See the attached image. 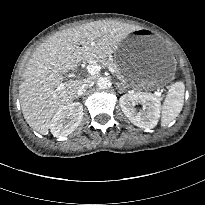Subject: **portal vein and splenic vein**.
Returning <instances> with one entry per match:
<instances>
[{"mask_svg":"<svg viewBox=\"0 0 205 205\" xmlns=\"http://www.w3.org/2000/svg\"><path fill=\"white\" fill-rule=\"evenodd\" d=\"M87 70H88V73L90 75H95V74H97L101 70V66L100 65H94V64L93 65H88L87 66ZM154 94L156 96H160L161 95V93L159 91H155Z\"/></svg>","mask_w":205,"mask_h":205,"instance_id":"18ae733b","label":"portal vein and splenic vein"}]
</instances>
